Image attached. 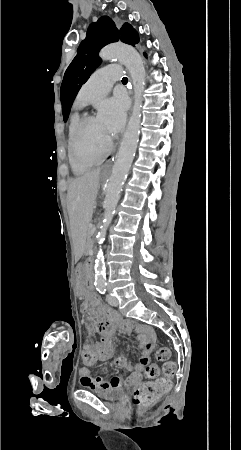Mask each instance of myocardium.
<instances>
[{
    "label": "myocardium",
    "instance_id": "obj_1",
    "mask_svg": "<svg viewBox=\"0 0 241 450\" xmlns=\"http://www.w3.org/2000/svg\"><path fill=\"white\" fill-rule=\"evenodd\" d=\"M88 119H89L88 115H83V116L79 117L73 125L72 132H71L72 136L69 139L72 144L68 145V148L72 149V151L74 153L73 158H72L73 162L80 161L81 155L78 152L79 150L76 148V145L80 140L79 137L82 134V130L79 127H81L83 125L84 121H87Z\"/></svg>",
    "mask_w": 241,
    "mask_h": 450
}]
</instances>
